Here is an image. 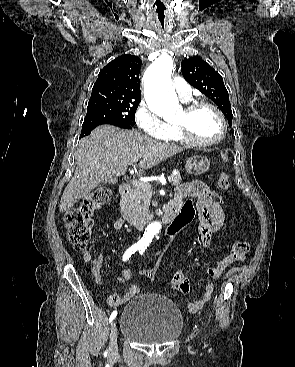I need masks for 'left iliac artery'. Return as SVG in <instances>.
Listing matches in <instances>:
<instances>
[{
    "label": "left iliac artery",
    "mask_w": 295,
    "mask_h": 367,
    "mask_svg": "<svg viewBox=\"0 0 295 367\" xmlns=\"http://www.w3.org/2000/svg\"><path fill=\"white\" fill-rule=\"evenodd\" d=\"M145 249H146V247H141V248L139 249L140 254H143V253L145 252Z\"/></svg>",
    "instance_id": "left-iliac-artery-1"
}]
</instances>
